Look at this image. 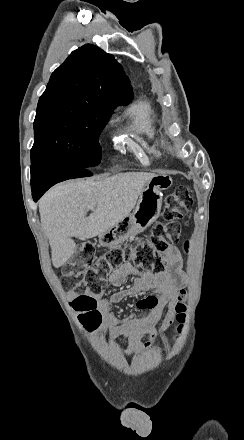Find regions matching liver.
I'll list each match as a JSON object with an SVG mask.
<instances>
[{
	"mask_svg": "<svg viewBox=\"0 0 244 440\" xmlns=\"http://www.w3.org/2000/svg\"><path fill=\"white\" fill-rule=\"evenodd\" d=\"M155 174L126 172L95 182L68 180L51 188L39 200L40 222L50 244L52 264L61 268L77 246L72 238L100 236L129 216L147 182ZM93 206L92 214L86 218Z\"/></svg>",
	"mask_w": 244,
	"mask_h": 440,
	"instance_id": "obj_1",
	"label": "liver"
}]
</instances>
